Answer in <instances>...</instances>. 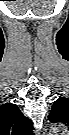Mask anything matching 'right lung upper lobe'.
Masks as SVG:
<instances>
[{"label":"right lung upper lobe","mask_w":69,"mask_h":135,"mask_svg":"<svg viewBox=\"0 0 69 135\" xmlns=\"http://www.w3.org/2000/svg\"><path fill=\"white\" fill-rule=\"evenodd\" d=\"M1 132L3 135H32V121L11 103L0 107Z\"/></svg>","instance_id":"right-lung-upper-lobe-1"}]
</instances>
